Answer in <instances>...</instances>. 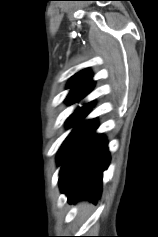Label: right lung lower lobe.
<instances>
[{
	"mask_svg": "<svg viewBox=\"0 0 158 237\" xmlns=\"http://www.w3.org/2000/svg\"><path fill=\"white\" fill-rule=\"evenodd\" d=\"M92 103L74 112L67 120V126L77 125L62 144L57 162L62 164L59 184L70 203L89 199L96 203L101 194L103 171L110 158L107 141L103 135L94 134L96 120L80 123L89 113Z\"/></svg>",
	"mask_w": 158,
	"mask_h": 237,
	"instance_id": "obj_1",
	"label": "right lung lower lobe"
}]
</instances>
